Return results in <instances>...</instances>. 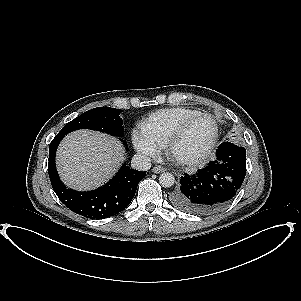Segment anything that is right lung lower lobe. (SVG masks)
Returning a JSON list of instances; mask_svg holds the SVG:
<instances>
[{
	"instance_id": "98d812e1",
	"label": "right lung lower lobe",
	"mask_w": 301,
	"mask_h": 301,
	"mask_svg": "<svg viewBox=\"0 0 301 301\" xmlns=\"http://www.w3.org/2000/svg\"><path fill=\"white\" fill-rule=\"evenodd\" d=\"M63 137L57 134L49 146L48 173L58 198L73 212L91 219H104L123 211L132 201L138 183L146 172L123 165L108 183L96 190H70L60 181L55 167V152Z\"/></svg>"
}]
</instances>
